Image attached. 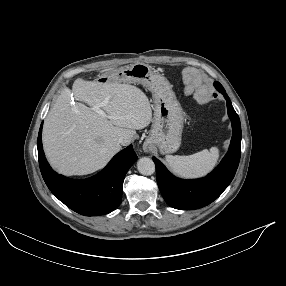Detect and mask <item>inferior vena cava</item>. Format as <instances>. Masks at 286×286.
Returning a JSON list of instances; mask_svg holds the SVG:
<instances>
[{
	"instance_id": "inferior-vena-cava-1",
	"label": "inferior vena cava",
	"mask_w": 286,
	"mask_h": 286,
	"mask_svg": "<svg viewBox=\"0 0 286 286\" xmlns=\"http://www.w3.org/2000/svg\"><path fill=\"white\" fill-rule=\"evenodd\" d=\"M118 144L126 145V140H125L124 138L120 137V138L118 139Z\"/></svg>"
}]
</instances>
